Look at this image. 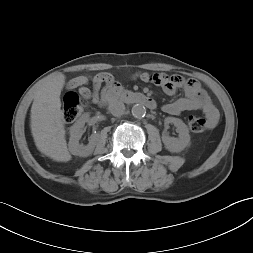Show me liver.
Masks as SVG:
<instances>
[{"instance_id":"6515ba94","label":"liver","mask_w":253,"mask_h":253,"mask_svg":"<svg viewBox=\"0 0 253 253\" xmlns=\"http://www.w3.org/2000/svg\"><path fill=\"white\" fill-rule=\"evenodd\" d=\"M64 85L63 74L49 79L37 90L31 107L30 126L35 145L42 154L57 162L71 160L60 101Z\"/></svg>"}]
</instances>
